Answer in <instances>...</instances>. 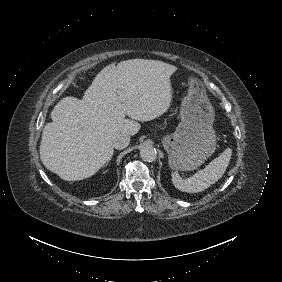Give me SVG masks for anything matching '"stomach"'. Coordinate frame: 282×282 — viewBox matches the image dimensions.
<instances>
[{
  "instance_id": "1",
  "label": "stomach",
  "mask_w": 282,
  "mask_h": 282,
  "mask_svg": "<svg viewBox=\"0 0 282 282\" xmlns=\"http://www.w3.org/2000/svg\"><path fill=\"white\" fill-rule=\"evenodd\" d=\"M185 84L187 92L179 106L181 120L176 131L164 139L170 166L183 171L196 169L213 154L217 144L215 110L204 84L190 78Z\"/></svg>"
}]
</instances>
